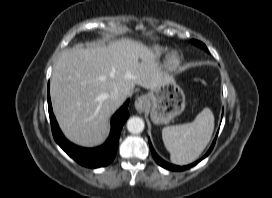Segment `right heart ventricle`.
<instances>
[{
	"instance_id": "e07e8e85",
	"label": "right heart ventricle",
	"mask_w": 272,
	"mask_h": 198,
	"mask_svg": "<svg viewBox=\"0 0 272 198\" xmlns=\"http://www.w3.org/2000/svg\"><path fill=\"white\" fill-rule=\"evenodd\" d=\"M164 51L165 50L163 48H156L155 49V52H156L157 55H162L164 53Z\"/></svg>"
}]
</instances>
